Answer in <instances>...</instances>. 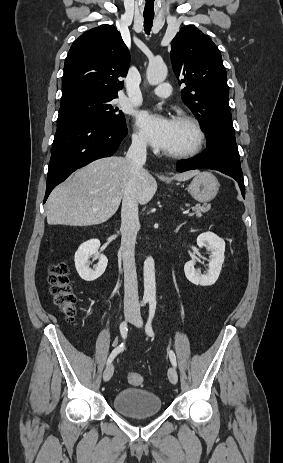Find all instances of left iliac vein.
Listing matches in <instances>:
<instances>
[{"instance_id":"4c4485c4","label":"left iliac vein","mask_w":283,"mask_h":463,"mask_svg":"<svg viewBox=\"0 0 283 463\" xmlns=\"http://www.w3.org/2000/svg\"><path fill=\"white\" fill-rule=\"evenodd\" d=\"M130 322L137 327H142L143 321L139 312H135L134 315L130 318ZM168 378L172 384H177L178 374L174 367L168 369Z\"/></svg>"}]
</instances>
